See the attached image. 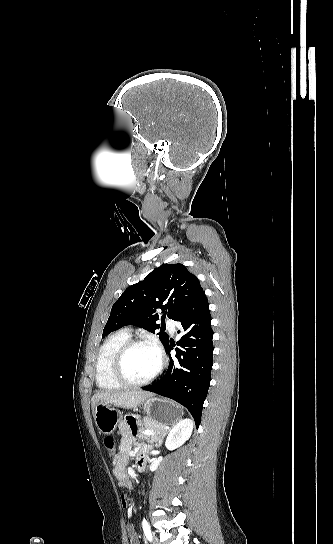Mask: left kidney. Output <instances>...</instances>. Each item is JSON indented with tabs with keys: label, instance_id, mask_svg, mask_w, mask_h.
I'll return each mask as SVG.
<instances>
[{
	"label": "left kidney",
	"instance_id": "left-kidney-1",
	"mask_svg": "<svg viewBox=\"0 0 333 544\" xmlns=\"http://www.w3.org/2000/svg\"><path fill=\"white\" fill-rule=\"evenodd\" d=\"M193 423L190 419L181 420L170 431L165 446L168 450H174L183 445L191 436Z\"/></svg>",
	"mask_w": 333,
	"mask_h": 544
}]
</instances>
